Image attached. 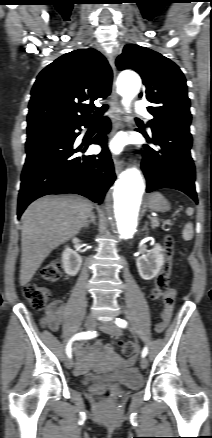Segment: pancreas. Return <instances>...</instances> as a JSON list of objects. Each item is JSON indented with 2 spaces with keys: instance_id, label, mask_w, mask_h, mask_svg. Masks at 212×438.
<instances>
[{
  "instance_id": "cf45deb5",
  "label": "pancreas",
  "mask_w": 212,
  "mask_h": 438,
  "mask_svg": "<svg viewBox=\"0 0 212 438\" xmlns=\"http://www.w3.org/2000/svg\"><path fill=\"white\" fill-rule=\"evenodd\" d=\"M151 223H152V228H155L159 225V221L156 218H153Z\"/></svg>"
}]
</instances>
